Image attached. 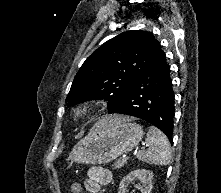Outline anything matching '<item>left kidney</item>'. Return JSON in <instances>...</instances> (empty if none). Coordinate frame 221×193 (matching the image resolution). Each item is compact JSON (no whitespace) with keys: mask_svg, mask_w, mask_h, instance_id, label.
Here are the masks:
<instances>
[{"mask_svg":"<svg viewBox=\"0 0 221 193\" xmlns=\"http://www.w3.org/2000/svg\"><path fill=\"white\" fill-rule=\"evenodd\" d=\"M152 179L153 173L151 171L145 169L134 170L122 179L119 184L118 193H127L129 183L134 182L135 180H139L142 184V186L140 184L136 185V188L140 189L141 193H150L153 187Z\"/></svg>","mask_w":221,"mask_h":193,"instance_id":"1","label":"left kidney"}]
</instances>
